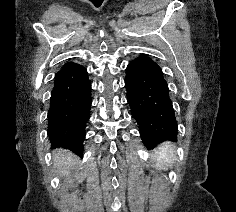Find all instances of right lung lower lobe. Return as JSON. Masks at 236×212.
I'll return each instance as SVG.
<instances>
[{
    "mask_svg": "<svg viewBox=\"0 0 236 212\" xmlns=\"http://www.w3.org/2000/svg\"><path fill=\"white\" fill-rule=\"evenodd\" d=\"M91 102V83L86 68L66 62L55 75L47 116V132L53 147L82 154Z\"/></svg>",
    "mask_w": 236,
    "mask_h": 212,
    "instance_id": "1",
    "label": "right lung lower lobe"
}]
</instances>
